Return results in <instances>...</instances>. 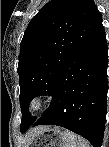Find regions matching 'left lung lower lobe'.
<instances>
[{"mask_svg": "<svg viewBox=\"0 0 109 147\" xmlns=\"http://www.w3.org/2000/svg\"><path fill=\"white\" fill-rule=\"evenodd\" d=\"M107 50L101 22L64 65L50 106L33 126H62L101 147L107 112Z\"/></svg>", "mask_w": 109, "mask_h": 147, "instance_id": "0a47b994", "label": "left lung lower lobe"}]
</instances>
